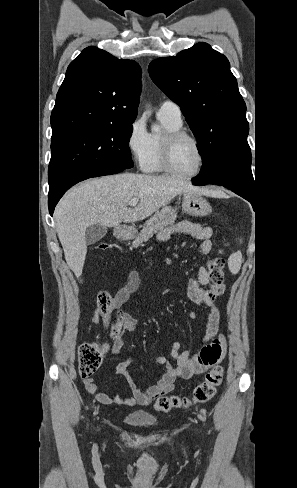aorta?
Wrapping results in <instances>:
<instances>
[{
    "instance_id": "aorta-1",
    "label": "aorta",
    "mask_w": 297,
    "mask_h": 488,
    "mask_svg": "<svg viewBox=\"0 0 297 488\" xmlns=\"http://www.w3.org/2000/svg\"><path fill=\"white\" fill-rule=\"evenodd\" d=\"M151 129H152V131H154V132H158V131L160 130V126H159V125H157V124H154V125H152Z\"/></svg>"
}]
</instances>
